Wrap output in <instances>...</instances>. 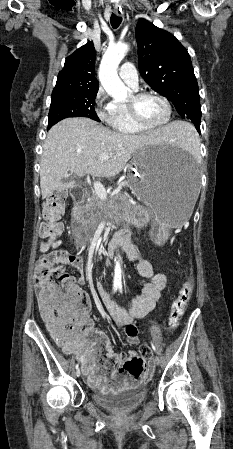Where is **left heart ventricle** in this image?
I'll use <instances>...</instances> for the list:
<instances>
[{"instance_id":"obj_1","label":"left heart ventricle","mask_w":233,"mask_h":449,"mask_svg":"<svg viewBox=\"0 0 233 449\" xmlns=\"http://www.w3.org/2000/svg\"><path fill=\"white\" fill-rule=\"evenodd\" d=\"M130 99L131 97L129 100ZM138 111L144 122L148 124L161 123L165 119L167 113L165 104L154 96L142 98L138 103Z\"/></svg>"}]
</instances>
